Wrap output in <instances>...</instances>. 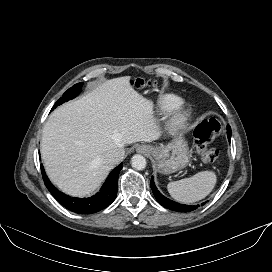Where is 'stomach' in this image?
<instances>
[{
  "instance_id": "1",
  "label": "stomach",
  "mask_w": 272,
  "mask_h": 272,
  "mask_svg": "<svg viewBox=\"0 0 272 272\" xmlns=\"http://www.w3.org/2000/svg\"><path fill=\"white\" fill-rule=\"evenodd\" d=\"M156 167L160 173L171 174L184 168L190 159L188 144L181 134H174L165 145L152 148Z\"/></svg>"
}]
</instances>
